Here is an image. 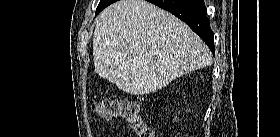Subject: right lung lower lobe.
<instances>
[{"instance_id":"right-lung-lower-lobe-1","label":"right lung lower lobe","mask_w":280,"mask_h":137,"mask_svg":"<svg viewBox=\"0 0 280 137\" xmlns=\"http://www.w3.org/2000/svg\"><path fill=\"white\" fill-rule=\"evenodd\" d=\"M180 18L214 54V37L203 0H147Z\"/></svg>"}]
</instances>
